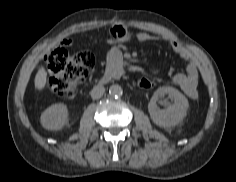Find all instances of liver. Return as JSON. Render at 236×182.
I'll list each match as a JSON object with an SVG mask.
<instances>
[{
    "mask_svg": "<svg viewBox=\"0 0 236 182\" xmlns=\"http://www.w3.org/2000/svg\"><path fill=\"white\" fill-rule=\"evenodd\" d=\"M46 81H47V76H46L45 68L41 66L34 79L35 89L38 91L43 90L45 88Z\"/></svg>",
    "mask_w": 236,
    "mask_h": 182,
    "instance_id": "1",
    "label": "liver"
}]
</instances>
